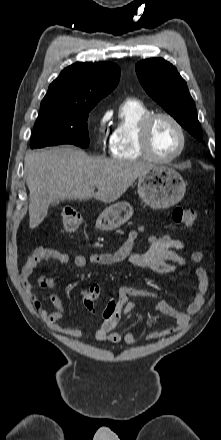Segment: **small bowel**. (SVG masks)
<instances>
[{
	"instance_id": "1",
	"label": "small bowel",
	"mask_w": 221,
	"mask_h": 440,
	"mask_svg": "<svg viewBox=\"0 0 221 440\" xmlns=\"http://www.w3.org/2000/svg\"><path fill=\"white\" fill-rule=\"evenodd\" d=\"M144 231L145 228H139V232ZM137 237L138 232L132 230L129 232L125 243L117 251L113 253L91 254L88 256L76 255L73 258L74 264L78 268H85L89 264L110 266L123 261H129L139 268L149 269L158 274H173L178 271V269L185 266L186 259L179 254L185 246L180 240L170 235L151 236L149 238L150 246L148 250L144 253H140L135 249V241ZM48 260L57 261L61 264H68L71 261V257L67 253L53 248L43 246L34 248L21 268L20 279L22 287L31 300L35 310L41 315L51 329L71 338L85 337L88 333L84 329L77 327H64L59 324L64 315V307L61 298L57 294L51 293L39 296L32 291L31 278L33 271L40 262ZM191 260L199 263L202 260L201 253H192ZM194 275L198 279V287L194 292L193 300L185 311L175 309L157 292L139 290L129 286L120 287L116 299L118 306L116 312L113 314L112 320L107 321L103 318L99 328L93 333V337L97 341L102 342L109 341L112 343H119L123 341L128 345L136 343V333L134 331H129L125 335H121L119 332L115 331L116 325L122 316L136 307L135 302L130 299L132 296L158 300L155 311L174 319L176 323L175 327L163 332L149 333L146 336L148 340L158 339L184 329L188 325L190 316L197 313L202 308L204 296L208 288V276L203 268H195ZM59 280V277L37 276L35 278L36 284L42 288H53L58 284ZM89 291L90 288H82L79 290V295L81 296L84 307V300ZM45 302H50L55 310L53 312H48L44 308Z\"/></svg>"
}]
</instances>
